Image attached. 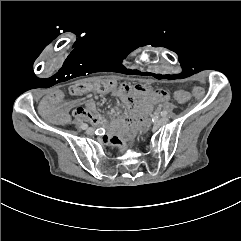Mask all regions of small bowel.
I'll list each match as a JSON object with an SVG mask.
<instances>
[{"label":"small bowel","mask_w":241,"mask_h":241,"mask_svg":"<svg viewBox=\"0 0 241 241\" xmlns=\"http://www.w3.org/2000/svg\"><path fill=\"white\" fill-rule=\"evenodd\" d=\"M105 81L114 82L111 80ZM168 93L169 91L167 89H150L149 87H144L142 84H138L131 89L128 85L123 84L118 86V91L114 95L119 97L125 107L130 111V107H135L139 103V98H143L148 102L166 103L169 100ZM80 94L84 93L80 90L78 95ZM61 98L62 93L60 91H55L42 100L41 113L46 120H52L54 118V113L50 110L51 104L57 102ZM94 108L95 104L93 100H87L86 107L75 108L73 114L81 122L89 121L98 126L106 125V120L96 113ZM137 114L141 118H146L150 114V109L146 105H141L137 109ZM70 120L71 115L69 113H63L55 117V122L57 124H64ZM147 125L148 124L137 122L130 113L126 119L112 126L111 131L103 137V142L108 146L118 147L122 152H125L133 148L136 138L147 129Z\"/></svg>","instance_id":"1"}]
</instances>
